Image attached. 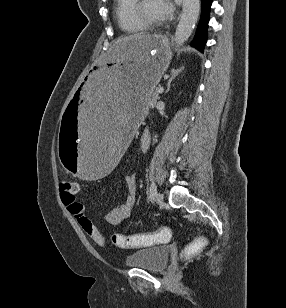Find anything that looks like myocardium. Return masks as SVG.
<instances>
[{"instance_id": "myocardium-1", "label": "myocardium", "mask_w": 286, "mask_h": 308, "mask_svg": "<svg viewBox=\"0 0 286 308\" xmlns=\"http://www.w3.org/2000/svg\"><path fill=\"white\" fill-rule=\"evenodd\" d=\"M145 0H137L133 6V14L137 21L144 26L146 29H153L161 26L163 24L162 21H150L142 14V5Z\"/></svg>"}]
</instances>
